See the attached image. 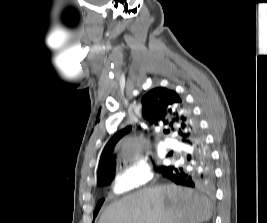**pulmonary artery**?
<instances>
[{
	"label": "pulmonary artery",
	"mask_w": 267,
	"mask_h": 223,
	"mask_svg": "<svg viewBox=\"0 0 267 223\" xmlns=\"http://www.w3.org/2000/svg\"><path fill=\"white\" fill-rule=\"evenodd\" d=\"M164 144H165V146H166L167 148H174V147H175V144H174L171 140H166V141L164 142Z\"/></svg>",
	"instance_id": "pulmonary-artery-1"
}]
</instances>
